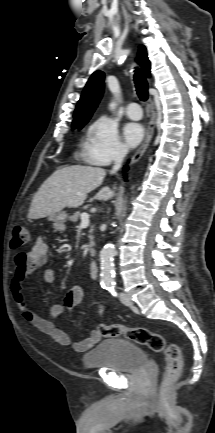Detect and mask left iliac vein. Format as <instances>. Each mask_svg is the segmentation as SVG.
I'll return each mask as SVG.
<instances>
[{
    "label": "left iliac vein",
    "instance_id": "1",
    "mask_svg": "<svg viewBox=\"0 0 215 433\" xmlns=\"http://www.w3.org/2000/svg\"><path fill=\"white\" fill-rule=\"evenodd\" d=\"M120 300H121V302H122L124 305H126V306H131V305H133V302H132L131 298H130L129 295L126 294V293H121V294H120Z\"/></svg>",
    "mask_w": 215,
    "mask_h": 433
}]
</instances>
